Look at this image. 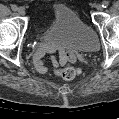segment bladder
<instances>
[{
  "instance_id": "bladder-1",
  "label": "bladder",
  "mask_w": 119,
  "mask_h": 119,
  "mask_svg": "<svg viewBox=\"0 0 119 119\" xmlns=\"http://www.w3.org/2000/svg\"><path fill=\"white\" fill-rule=\"evenodd\" d=\"M54 13L55 18L47 29V38L54 43L69 44L82 53L99 50L96 32L82 21L77 12L64 4H55Z\"/></svg>"
}]
</instances>
